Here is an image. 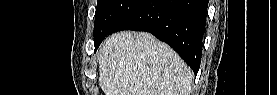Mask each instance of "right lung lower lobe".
Masks as SVG:
<instances>
[{
	"label": "right lung lower lobe",
	"instance_id": "1",
	"mask_svg": "<svg viewBox=\"0 0 277 95\" xmlns=\"http://www.w3.org/2000/svg\"><path fill=\"white\" fill-rule=\"evenodd\" d=\"M208 0H144L109 34L146 31L170 45L197 74Z\"/></svg>",
	"mask_w": 277,
	"mask_h": 95
}]
</instances>
